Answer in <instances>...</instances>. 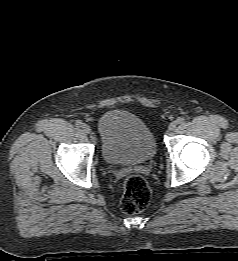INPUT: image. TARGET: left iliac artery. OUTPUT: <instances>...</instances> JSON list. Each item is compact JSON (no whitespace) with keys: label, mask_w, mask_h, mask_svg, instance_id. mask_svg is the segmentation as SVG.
I'll use <instances>...</instances> for the list:
<instances>
[{"label":"left iliac artery","mask_w":238,"mask_h":261,"mask_svg":"<svg viewBox=\"0 0 238 261\" xmlns=\"http://www.w3.org/2000/svg\"><path fill=\"white\" fill-rule=\"evenodd\" d=\"M177 122H178L179 124H183V123L185 122V118H184V117H179V118L177 119Z\"/></svg>","instance_id":"obj_1"}]
</instances>
